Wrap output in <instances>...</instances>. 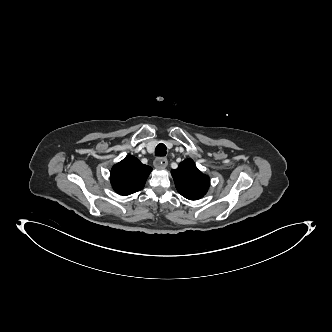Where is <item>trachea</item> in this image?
I'll return each instance as SVG.
<instances>
[{
    "label": "trachea",
    "instance_id": "trachea-1",
    "mask_svg": "<svg viewBox=\"0 0 332 332\" xmlns=\"http://www.w3.org/2000/svg\"><path fill=\"white\" fill-rule=\"evenodd\" d=\"M155 155L163 157L166 155V146L163 143H160L155 148Z\"/></svg>",
    "mask_w": 332,
    "mask_h": 332
}]
</instances>
